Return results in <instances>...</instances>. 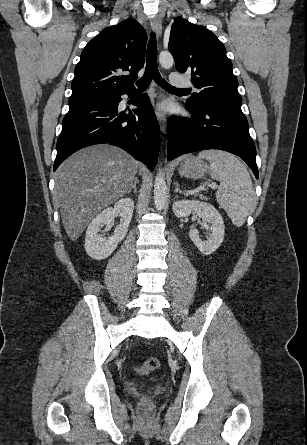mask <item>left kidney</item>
Wrapping results in <instances>:
<instances>
[{
  "label": "left kidney",
  "instance_id": "obj_1",
  "mask_svg": "<svg viewBox=\"0 0 307 445\" xmlns=\"http://www.w3.org/2000/svg\"><path fill=\"white\" fill-rule=\"evenodd\" d=\"M173 212L176 216H188L191 212H196L202 218L204 227L206 223L211 225L207 241L200 239L197 229H192L189 233L191 241L202 255H211L219 249L224 239V220L215 206L201 200H176L173 202Z\"/></svg>",
  "mask_w": 307,
  "mask_h": 445
}]
</instances>
